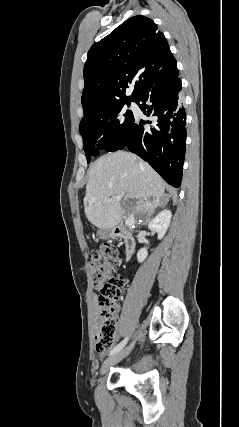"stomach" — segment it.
Returning a JSON list of instances; mask_svg holds the SVG:
<instances>
[{
  "label": "stomach",
  "instance_id": "1",
  "mask_svg": "<svg viewBox=\"0 0 239 427\" xmlns=\"http://www.w3.org/2000/svg\"><path fill=\"white\" fill-rule=\"evenodd\" d=\"M98 235L102 239L110 238L113 236V231L111 229H100Z\"/></svg>",
  "mask_w": 239,
  "mask_h": 427
}]
</instances>
